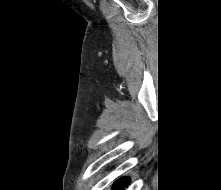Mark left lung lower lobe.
<instances>
[{"label":"left lung lower lobe","mask_w":221,"mask_h":190,"mask_svg":"<svg viewBox=\"0 0 221 190\" xmlns=\"http://www.w3.org/2000/svg\"><path fill=\"white\" fill-rule=\"evenodd\" d=\"M127 182H130L129 178L127 177L119 179L113 187L114 190H124V186H127Z\"/></svg>","instance_id":"left-lung-lower-lobe-1"}]
</instances>
